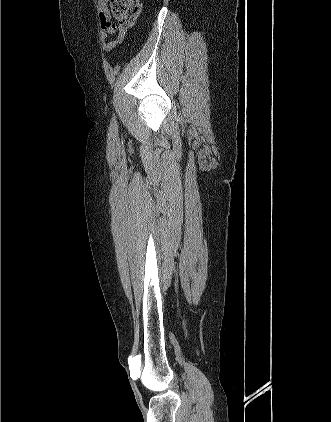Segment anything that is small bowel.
<instances>
[{
  "label": "small bowel",
  "mask_w": 331,
  "mask_h": 422,
  "mask_svg": "<svg viewBox=\"0 0 331 422\" xmlns=\"http://www.w3.org/2000/svg\"><path fill=\"white\" fill-rule=\"evenodd\" d=\"M98 12L101 26L103 28L100 41L103 49L106 52H111L123 43L127 35V29L126 27L120 24L116 25L111 21L108 0H99ZM109 36H114L115 39L112 41H107Z\"/></svg>",
  "instance_id": "c3829d8e"
}]
</instances>
